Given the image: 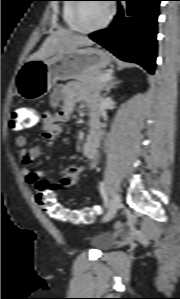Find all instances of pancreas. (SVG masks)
I'll return each instance as SVG.
<instances>
[{
  "label": "pancreas",
  "mask_w": 180,
  "mask_h": 299,
  "mask_svg": "<svg viewBox=\"0 0 180 299\" xmlns=\"http://www.w3.org/2000/svg\"><path fill=\"white\" fill-rule=\"evenodd\" d=\"M106 74L110 73L108 71H93L81 76L78 80L90 90L101 91L107 86V82H100V79Z\"/></svg>",
  "instance_id": "obj_1"
}]
</instances>
